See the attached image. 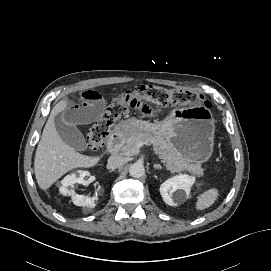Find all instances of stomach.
<instances>
[{"mask_svg": "<svg viewBox=\"0 0 271 271\" xmlns=\"http://www.w3.org/2000/svg\"><path fill=\"white\" fill-rule=\"evenodd\" d=\"M118 131L131 135L152 132L163 136L191 164L207 161L214 146L215 121L202 106L173 109L165 119L151 123L131 118L119 125Z\"/></svg>", "mask_w": 271, "mask_h": 271, "instance_id": "obj_1", "label": "stomach"}]
</instances>
